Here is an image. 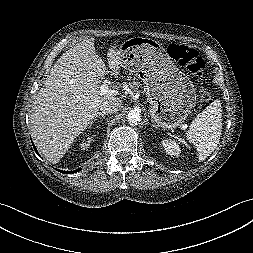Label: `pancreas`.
<instances>
[{
	"instance_id": "pancreas-1",
	"label": "pancreas",
	"mask_w": 253,
	"mask_h": 253,
	"mask_svg": "<svg viewBox=\"0 0 253 253\" xmlns=\"http://www.w3.org/2000/svg\"><path fill=\"white\" fill-rule=\"evenodd\" d=\"M132 84L134 85L133 88H134V87H138V86H137L138 83H137L136 81H133Z\"/></svg>"
}]
</instances>
